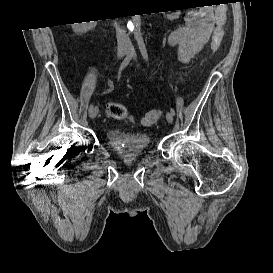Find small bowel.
Returning <instances> with one entry per match:
<instances>
[{"label": "small bowel", "mask_w": 273, "mask_h": 273, "mask_svg": "<svg viewBox=\"0 0 273 273\" xmlns=\"http://www.w3.org/2000/svg\"><path fill=\"white\" fill-rule=\"evenodd\" d=\"M176 17V15H172ZM185 25L171 31L167 35V43L177 45L179 48V61L190 62L199 54L204 45L210 40L217 30H221L225 15L217 12L200 10L189 13L184 17Z\"/></svg>", "instance_id": "1"}]
</instances>
